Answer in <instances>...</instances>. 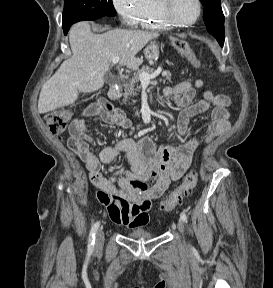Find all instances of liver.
<instances>
[{
	"label": "liver",
	"mask_w": 273,
	"mask_h": 288,
	"mask_svg": "<svg viewBox=\"0 0 273 288\" xmlns=\"http://www.w3.org/2000/svg\"><path fill=\"white\" fill-rule=\"evenodd\" d=\"M158 36L157 32L127 29L94 34L88 22L76 23L69 32L72 56L42 86L38 112L44 114L71 105L79 93L102 88L114 57L120 58V66L138 68L143 60L136 54Z\"/></svg>",
	"instance_id": "1"
}]
</instances>
